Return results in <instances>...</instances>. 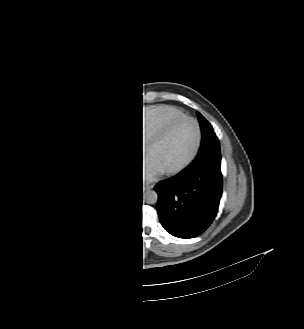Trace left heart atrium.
I'll return each mask as SVG.
<instances>
[{"mask_svg": "<svg viewBox=\"0 0 304 329\" xmlns=\"http://www.w3.org/2000/svg\"><path fill=\"white\" fill-rule=\"evenodd\" d=\"M162 171L150 160H146L143 165L142 178L144 181L154 180Z\"/></svg>", "mask_w": 304, "mask_h": 329, "instance_id": "left-heart-atrium-1", "label": "left heart atrium"}]
</instances>
